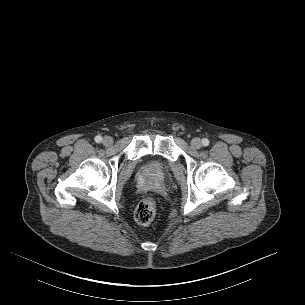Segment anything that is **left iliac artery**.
Instances as JSON below:
<instances>
[{"mask_svg": "<svg viewBox=\"0 0 305 305\" xmlns=\"http://www.w3.org/2000/svg\"><path fill=\"white\" fill-rule=\"evenodd\" d=\"M202 144H203V146H208L209 145V140L207 138H204L202 140Z\"/></svg>", "mask_w": 305, "mask_h": 305, "instance_id": "left-iliac-artery-1", "label": "left iliac artery"}]
</instances>
